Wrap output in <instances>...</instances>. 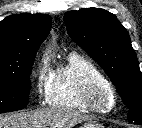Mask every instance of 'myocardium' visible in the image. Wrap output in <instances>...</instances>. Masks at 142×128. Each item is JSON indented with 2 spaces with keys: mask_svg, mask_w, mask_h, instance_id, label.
<instances>
[{
  "mask_svg": "<svg viewBox=\"0 0 142 128\" xmlns=\"http://www.w3.org/2000/svg\"><path fill=\"white\" fill-rule=\"evenodd\" d=\"M83 100L90 110L108 113L116 107L117 95L108 80L92 79L85 87Z\"/></svg>",
  "mask_w": 142,
  "mask_h": 128,
  "instance_id": "myocardium-1",
  "label": "myocardium"
}]
</instances>
